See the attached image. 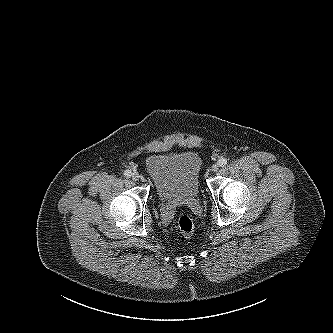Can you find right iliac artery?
Instances as JSON below:
<instances>
[{"label": "right iliac artery", "instance_id": "obj_1", "mask_svg": "<svg viewBox=\"0 0 333 333\" xmlns=\"http://www.w3.org/2000/svg\"><path fill=\"white\" fill-rule=\"evenodd\" d=\"M131 174H132V172H131L130 170H125V171H124V176H125V177H130Z\"/></svg>", "mask_w": 333, "mask_h": 333}]
</instances>
